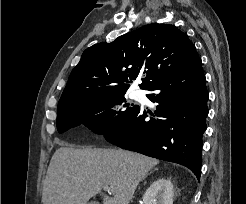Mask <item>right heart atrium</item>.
Returning a JSON list of instances; mask_svg holds the SVG:
<instances>
[{"label":"right heart atrium","mask_w":246,"mask_h":204,"mask_svg":"<svg viewBox=\"0 0 246 204\" xmlns=\"http://www.w3.org/2000/svg\"><path fill=\"white\" fill-rule=\"evenodd\" d=\"M106 113H107L108 115H109V114H111V110H107V112H106Z\"/></svg>","instance_id":"obj_1"}]
</instances>
